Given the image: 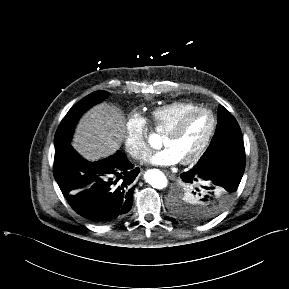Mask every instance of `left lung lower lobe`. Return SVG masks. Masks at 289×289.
Here are the masks:
<instances>
[{"label":"left lung lower lobe","instance_id":"1","mask_svg":"<svg viewBox=\"0 0 289 289\" xmlns=\"http://www.w3.org/2000/svg\"><path fill=\"white\" fill-rule=\"evenodd\" d=\"M244 169L245 154L228 153L198 162L180 177L185 183L192 184L202 203L203 216L212 219L231 201Z\"/></svg>","mask_w":289,"mask_h":289}]
</instances>
